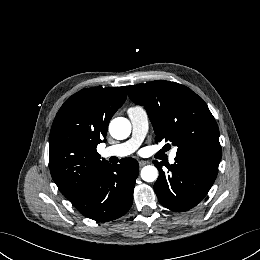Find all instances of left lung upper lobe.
I'll list each match as a JSON object with an SVG mask.
<instances>
[{"label":"left lung upper lobe","mask_w":260,"mask_h":260,"mask_svg":"<svg viewBox=\"0 0 260 260\" xmlns=\"http://www.w3.org/2000/svg\"><path fill=\"white\" fill-rule=\"evenodd\" d=\"M129 97L146 109L156 142H171L178 147L177 154L221 159L217 123L206 103L191 89L175 82L157 80L129 86Z\"/></svg>","instance_id":"5c2ea615"}]
</instances>
